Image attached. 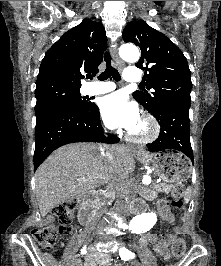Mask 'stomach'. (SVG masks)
Wrapping results in <instances>:
<instances>
[{
	"label": "stomach",
	"instance_id": "1",
	"mask_svg": "<svg viewBox=\"0 0 221 266\" xmlns=\"http://www.w3.org/2000/svg\"><path fill=\"white\" fill-rule=\"evenodd\" d=\"M154 166L159 177L168 183H182L192 172L191 162L181 153L159 152L154 155Z\"/></svg>",
	"mask_w": 221,
	"mask_h": 266
}]
</instances>
